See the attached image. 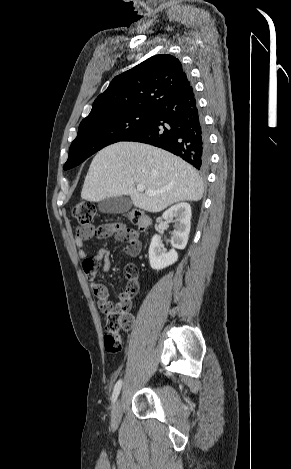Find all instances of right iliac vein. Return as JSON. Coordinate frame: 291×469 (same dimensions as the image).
<instances>
[{
	"mask_svg": "<svg viewBox=\"0 0 291 469\" xmlns=\"http://www.w3.org/2000/svg\"><path fill=\"white\" fill-rule=\"evenodd\" d=\"M121 412H122V402L121 398H119L112 410V424L116 426L119 422V419L121 417Z\"/></svg>",
	"mask_w": 291,
	"mask_h": 469,
	"instance_id": "right-iliac-vein-1",
	"label": "right iliac vein"
}]
</instances>
